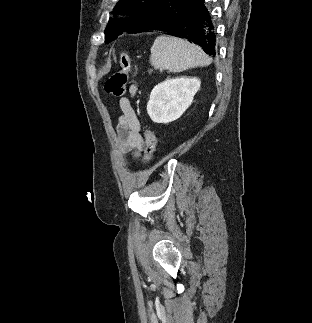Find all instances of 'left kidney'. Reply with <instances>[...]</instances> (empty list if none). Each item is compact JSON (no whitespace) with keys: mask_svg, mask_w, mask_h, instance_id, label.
Instances as JSON below:
<instances>
[{"mask_svg":"<svg viewBox=\"0 0 312 323\" xmlns=\"http://www.w3.org/2000/svg\"><path fill=\"white\" fill-rule=\"evenodd\" d=\"M197 78H175L166 80L153 88L147 104V112L157 124H169L178 120L192 104L200 88Z\"/></svg>","mask_w":312,"mask_h":323,"instance_id":"left-kidney-1","label":"left kidney"}]
</instances>
